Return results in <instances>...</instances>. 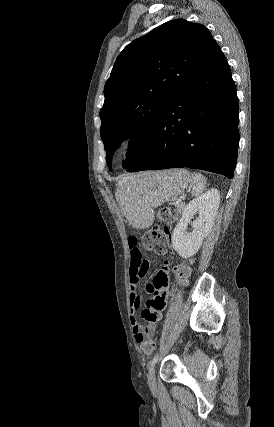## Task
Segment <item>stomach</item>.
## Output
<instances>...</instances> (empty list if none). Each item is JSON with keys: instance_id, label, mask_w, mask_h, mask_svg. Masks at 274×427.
Wrapping results in <instances>:
<instances>
[{"instance_id": "1", "label": "stomach", "mask_w": 274, "mask_h": 427, "mask_svg": "<svg viewBox=\"0 0 274 427\" xmlns=\"http://www.w3.org/2000/svg\"><path fill=\"white\" fill-rule=\"evenodd\" d=\"M190 182L187 170L147 172L126 184L121 200L125 215H133L134 227H149L153 223L154 208L183 194Z\"/></svg>"}]
</instances>
